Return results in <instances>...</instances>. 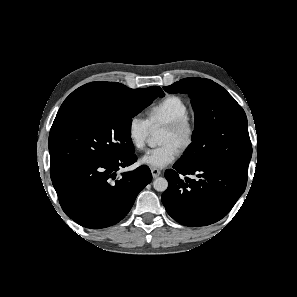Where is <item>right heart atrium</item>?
<instances>
[{"label": "right heart atrium", "instance_id": "obj_1", "mask_svg": "<svg viewBox=\"0 0 297 297\" xmlns=\"http://www.w3.org/2000/svg\"><path fill=\"white\" fill-rule=\"evenodd\" d=\"M126 130L127 136L133 147L138 150H143L146 146V141L151 131L147 120L139 115H134L130 117Z\"/></svg>", "mask_w": 297, "mask_h": 297}]
</instances>
